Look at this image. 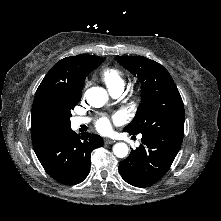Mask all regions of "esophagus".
<instances>
[{
    "mask_svg": "<svg viewBox=\"0 0 221 221\" xmlns=\"http://www.w3.org/2000/svg\"><path fill=\"white\" fill-rule=\"evenodd\" d=\"M104 142H105L106 144H113V143L115 142V140L110 139V138H105V139H104Z\"/></svg>",
    "mask_w": 221,
    "mask_h": 221,
    "instance_id": "34e87169",
    "label": "esophagus"
}]
</instances>
